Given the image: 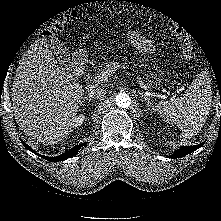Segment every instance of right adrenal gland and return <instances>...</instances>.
Here are the masks:
<instances>
[{
	"label": "right adrenal gland",
	"mask_w": 221,
	"mask_h": 221,
	"mask_svg": "<svg viewBox=\"0 0 221 221\" xmlns=\"http://www.w3.org/2000/svg\"><path fill=\"white\" fill-rule=\"evenodd\" d=\"M85 101L91 102V101H93V100H92L91 98L84 97L83 100H82V102H81V106L84 105V104H82V103H84Z\"/></svg>",
	"instance_id": "right-adrenal-gland-1"
}]
</instances>
